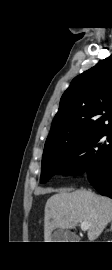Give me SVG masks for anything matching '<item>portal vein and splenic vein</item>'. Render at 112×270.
<instances>
[{
    "instance_id": "portal-vein-and-splenic-vein-1",
    "label": "portal vein and splenic vein",
    "mask_w": 112,
    "mask_h": 270,
    "mask_svg": "<svg viewBox=\"0 0 112 270\" xmlns=\"http://www.w3.org/2000/svg\"><path fill=\"white\" fill-rule=\"evenodd\" d=\"M89 228V223L86 221L81 222V229L86 231Z\"/></svg>"
}]
</instances>
